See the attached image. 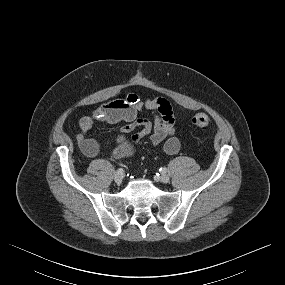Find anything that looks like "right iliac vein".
Returning <instances> with one entry per match:
<instances>
[{
	"label": "right iliac vein",
	"instance_id": "1",
	"mask_svg": "<svg viewBox=\"0 0 285 285\" xmlns=\"http://www.w3.org/2000/svg\"><path fill=\"white\" fill-rule=\"evenodd\" d=\"M122 180H123V176H122L121 174H118V173H117V174L115 175V177H114L115 183L119 185V184L122 183Z\"/></svg>",
	"mask_w": 285,
	"mask_h": 285
}]
</instances>
